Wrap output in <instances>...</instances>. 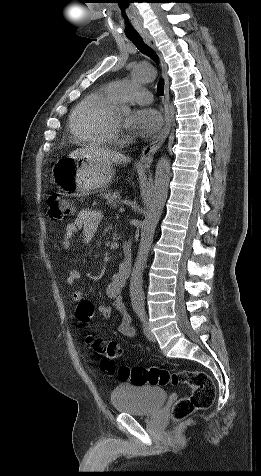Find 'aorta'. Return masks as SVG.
I'll list each match as a JSON object with an SVG mask.
<instances>
[{
	"label": "aorta",
	"mask_w": 261,
	"mask_h": 476,
	"mask_svg": "<svg viewBox=\"0 0 261 476\" xmlns=\"http://www.w3.org/2000/svg\"><path fill=\"white\" fill-rule=\"evenodd\" d=\"M155 77L156 71L152 65H139L133 70V78L138 82H151ZM118 111L122 115L130 113V109L127 106H120ZM169 182L170 160L166 156H162L156 164L153 192L142 223L138 253L130 278V297L133 307L144 306L143 271L147 263L157 224L167 200Z\"/></svg>",
	"instance_id": "762f6f07"
}]
</instances>
